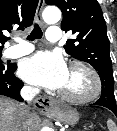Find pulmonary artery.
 I'll use <instances>...</instances> for the list:
<instances>
[{"instance_id": "1", "label": "pulmonary artery", "mask_w": 117, "mask_h": 131, "mask_svg": "<svg viewBox=\"0 0 117 131\" xmlns=\"http://www.w3.org/2000/svg\"><path fill=\"white\" fill-rule=\"evenodd\" d=\"M46 38L49 42H57L60 39V29L57 26L48 28ZM19 44L8 49L7 56L10 58L20 57L33 51L34 47L22 40H18Z\"/></svg>"}]
</instances>
